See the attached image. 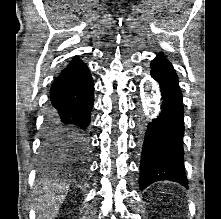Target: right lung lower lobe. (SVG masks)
Segmentation results:
<instances>
[{"instance_id": "98d812e1", "label": "right lung lower lobe", "mask_w": 221, "mask_h": 219, "mask_svg": "<svg viewBox=\"0 0 221 219\" xmlns=\"http://www.w3.org/2000/svg\"><path fill=\"white\" fill-rule=\"evenodd\" d=\"M93 92L94 83L87 65L74 57L51 87V104L42 134V171L67 168L86 155Z\"/></svg>"}]
</instances>
